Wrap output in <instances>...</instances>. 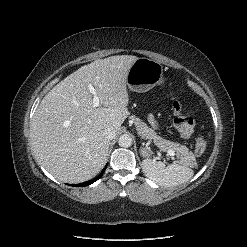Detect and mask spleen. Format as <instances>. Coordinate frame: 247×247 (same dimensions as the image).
Here are the masks:
<instances>
[{"label":"spleen","instance_id":"obj_1","mask_svg":"<svg viewBox=\"0 0 247 247\" xmlns=\"http://www.w3.org/2000/svg\"><path fill=\"white\" fill-rule=\"evenodd\" d=\"M144 174L151 180L161 186L173 187L190 180L194 171L186 164L174 161L166 166L162 162H156L152 159H145L142 162Z\"/></svg>","mask_w":247,"mask_h":247}]
</instances>
